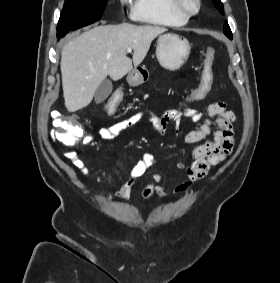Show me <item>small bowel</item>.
<instances>
[{"label":"small bowel","instance_id":"obj_1","mask_svg":"<svg viewBox=\"0 0 280 283\" xmlns=\"http://www.w3.org/2000/svg\"><path fill=\"white\" fill-rule=\"evenodd\" d=\"M184 118L200 123L199 128L183 134L181 139L183 145H194L191 151L193 158L192 163L189 165L183 162L176 163V168L184 172L187 176V180L178 185L175 188V192L185 193L196 182L203 179L211 167L226 160L233 151V125L236 117L232 111L226 109L225 103L215 102L208 105L205 114L191 107H184L181 110H172L162 116H155L146 112H137L111 126L99 128L96 132V136L104 141L114 140L122 132L136 125L143 119H147L157 131L161 132L164 131L170 123L178 127ZM81 137L84 146L92 144L95 140V135L85 131ZM202 141H204V143L199 144ZM66 157L83 176L89 177L92 175V170L85 164L76 151L67 152ZM154 163L155 158L153 154H143L129 172L121 175L122 184L116 196L122 200L129 199L133 186ZM162 181L163 176L159 173H155L152 176V182L145 185L142 190V197L146 202L151 201L154 196H167L165 187L161 184Z\"/></svg>","mask_w":280,"mask_h":283}]
</instances>
